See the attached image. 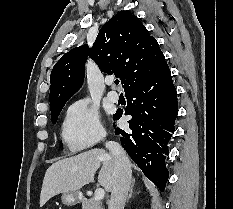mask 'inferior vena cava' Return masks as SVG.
Segmentation results:
<instances>
[{"label": "inferior vena cava", "mask_w": 233, "mask_h": 209, "mask_svg": "<svg viewBox=\"0 0 233 209\" xmlns=\"http://www.w3.org/2000/svg\"><path fill=\"white\" fill-rule=\"evenodd\" d=\"M115 163L114 183L108 209H124L131 184V164L125 151L117 142H106Z\"/></svg>", "instance_id": "602c4592"}]
</instances>
